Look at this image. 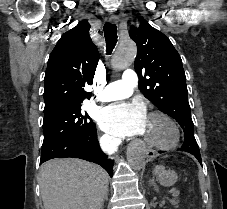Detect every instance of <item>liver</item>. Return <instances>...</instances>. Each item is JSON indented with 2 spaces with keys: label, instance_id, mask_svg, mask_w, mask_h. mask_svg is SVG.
<instances>
[{
  "label": "liver",
  "instance_id": "6515ba94",
  "mask_svg": "<svg viewBox=\"0 0 227 209\" xmlns=\"http://www.w3.org/2000/svg\"><path fill=\"white\" fill-rule=\"evenodd\" d=\"M45 209H101L108 175L99 165L81 159H53L40 167Z\"/></svg>",
  "mask_w": 227,
  "mask_h": 209
}]
</instances>
